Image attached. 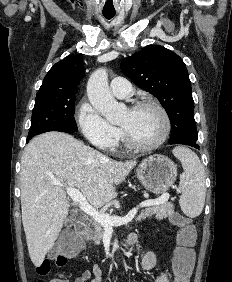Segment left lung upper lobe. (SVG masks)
Masks as SVG:
<instances>
[{"label":"left lung upper lobe","instance_id":"1","mask_svg":"<svg viewBox=\"0 0 232 282\" xmlns=\"http://www.w3.org/2000/svg\"><path fill=\"white\" fill-rule=\"evenodd\" d=\"M122 72L154 95L166 110L174 134L182 141L197 140L191 82L182 59L158 45H148L121 61Z\"/></svg>","mask_w":232,"mask_h":282}]
</instances>
